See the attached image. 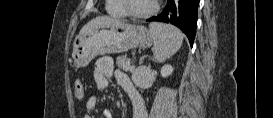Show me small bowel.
Here are the masks:
<instances>
[{"instance_id": "obj_1", "label": "small bowel", "mask_w": 273, "mask_h": 118, "mask_svg": "<svg viewBox=\"0 0 273 118\" xmlns=\"http://www.w3.org/2000/svg\"><path fill=\"white\" fill-rule=\"evenodd\" d=\"M114 77L123 91L129 97L132 104V112L130 118H144L145 105L143 99L130 78L123 72L115 70L113 60L111 57H100L96 60L93 79L98 89H103L108 84V79ZM98 99L96 96H91L86 101V109L94 110L97 107ZM104 118H113L111 110L107 109L103 112ZM85 118H91L86 115Z\"/></svg>"}]
</instances>
